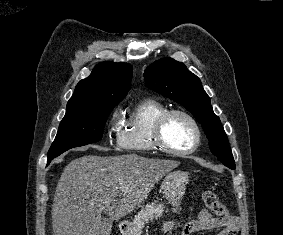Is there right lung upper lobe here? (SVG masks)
<instances>
[{
    "instance_id": "cb5924a9",
    "label": "right lung upper lobe",
    "mask_w": 283,
    "mask_h": 235,
    "mask_svg": "<svg viewBox=\"0 0 283 235\" xmlns=\"http://www.w3.org/2000/svg\"><path fill=\"white\" fill-rule=\"evenodd\" d=\"M132 72L129 64L102 62L77 84L68 104L121 101L129 91Z\"/></svg>"
}]
</instances>
